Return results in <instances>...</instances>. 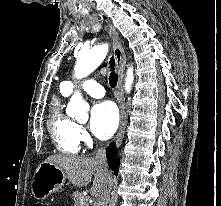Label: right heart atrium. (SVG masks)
Returning a JSON list of instances; mask_svg holds the SVG:
<instances>
[{"mask_svg": "<svg viewBox=\"0 0 221 206\" xmlns=\"http://www.w3.org/2000/svg\"><path fill=\"white\" fill-rule=\"evenodd\" d=\"M78 137L81 143L90 146L91 145V138L85 128L82 126H78Z\"/></svg>", "mask_w": 221, "mask_h": 206, "instance_id": "right-heart-atrium-1", "label": "right heart atrium"}]
</instances>
